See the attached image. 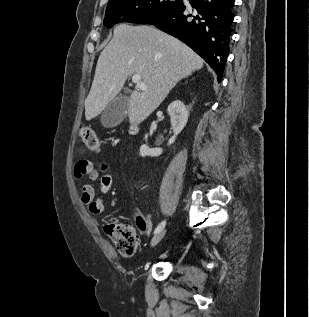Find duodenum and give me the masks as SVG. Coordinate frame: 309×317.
Instances as JSON below:
<instances>
[{"instance_id": "obj_1", "label": "duodenum", "mask_w": 309, "mask_h": 317, "mask_svg": "<svg viewBox=\"0 0 309 317\" xmlns=\"http://www.w3.org/2000/svg\"><path fill=\"white\" fill-rule=\"evenodd\" d=\"M130 131L132 134H136L138 132V127L136 125H132Z\"/></svg>"}]
</instances>
